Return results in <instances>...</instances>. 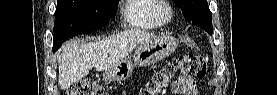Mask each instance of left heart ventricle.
Masks as SVG:
<instances>
[{"label":"left heart ventricle","mask_w":277,"mask_h":95,"mask_svg":"<svg viewBox=\"0 0 277 95\" xmlns=\"http://www.w3.org/2000/svg\"><path fill=\"white\" fill-rule=\"evenodd\" d=\"M165 13H166V11L163 8H158L156 10V14L159 18H163L165 16Z\"/></svg>","instance_id":"left-heart-ventricle-1"}]
</instances>
